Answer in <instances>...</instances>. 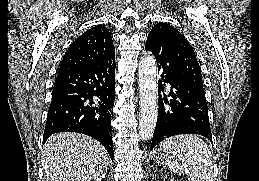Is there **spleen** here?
I'll list each match as a JSON object with an SVG mask.
<instances>
[{
    "label": "spleen",
    "instance_id": "1",
    "mask_svg": "<svg viewBox=\"0 0 259 181\" xmlns=\"http://www.w3.org/2000/svg\"><path fill=\"white\" fill-rule=\"evenodd\" d=\"M160 148L170 149L172 159L167 164L172 172L185 173L191 181H213L211 152L198 136L192 134L173 136L165 139Z\"/></svg>",
    "mask_w": 259,
    "mask_h": 181
}]
</instances>
